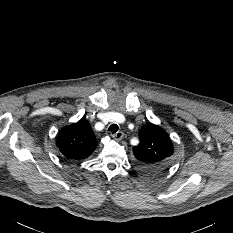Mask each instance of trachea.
I'll use <instances>...</instances> for the list:
<instances>
[{
    "mask_svg": "<svg viewBox=\"0 0 233 233\" xmlns=\"http://www.w3.org/2000/svg\"><path fill=\"white\" fill-rule=\"evenodd\" d=\"M109 131L112 132V134L116 133L118 131V125L117 124H112L109 128Z\"/></svg>",
    "mask_w": 233,
    "mask_h": 233,
    "instance_id": "trachea-1",
    "label": "trachea"
}]
</instances>
